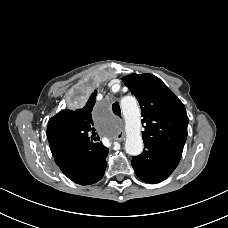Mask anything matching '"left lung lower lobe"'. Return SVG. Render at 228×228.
<instances>
[{
	"label": "left lung lower lobe",
	"instance_id": "1",
	"mask_svg": "<svg viewBox=\"0 0 228 228\" xmlns=\"http://www.w3.org/2000/svg\"><path fill=\"white\" fill-rule=\"evenodd\" d=\"M143 153L134 156L131 164L136 175L148 183L165 180L177 167L182 151L175 148L145 144Z\"/></svg>",
	"mask_w": 228,
	"mask_h": 228
}]
</instances>
